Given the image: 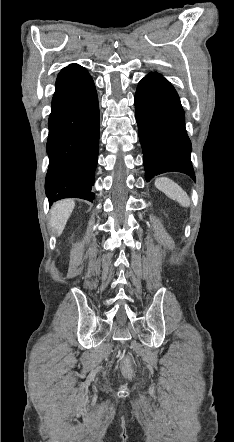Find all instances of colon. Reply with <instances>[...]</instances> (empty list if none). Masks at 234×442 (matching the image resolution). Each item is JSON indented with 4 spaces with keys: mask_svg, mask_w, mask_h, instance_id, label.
Listing matches in <instances>:
<instances>
[{
    "mask_svg": "<svg viewBox=\"0 0 234 442\" xmlns=\"http://www.w3.org/2000/svg\"><path fill=\"white\" fill-rule=\"evenodd\" d=\"M122 371L125 376L131 377L133 375V368L131 363V356L127 355L122 359Z\"/></svg>",
    "mask_w": 234,
    "mask_h": 442,
    "instance_id": "5ec220e1",
    "label": "colon"
}]
</instances>
